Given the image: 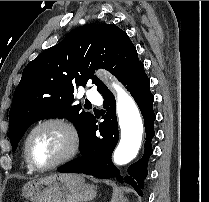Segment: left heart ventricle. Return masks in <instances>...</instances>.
I'll use <instances>...</instances> for the list:
<instances>
[{"mask_svg": "<svg viewBox=\"0 0 209 202\" xmlns=\"http://www.w3.org/2000/svg\"><path fill=\"white\" fill-rule=\"evenodd\" d=\"M66 147L62 131L55 126H45L33 134L29 142L32 160L38 166L52 163Z\"/></svg>", "mask_w": 209, "mask_h": 202, "instance_id": "b2bd125f", "label": "left heart ventricle"}]
</instances>
